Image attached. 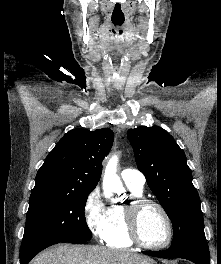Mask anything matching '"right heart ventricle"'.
Masks as SVG:
<instances>
[{
  "mask_svg": "<svg viewBox=\"0 0 221 264\" xmlns=\"http://www.w3.org/2000/svg\"><path fill=\"white\" fill-rule=\"evenodd\" d=\"M127 186L132 198L142 197V189H137L130 185ZM103 241L107 246L113 248H128L133 245L126 230L124 205H112L109 208L108 226Z\"/></svg>",
  "mask_w": 221,
  "mask_h": 264,
  "instance_id": "obj_1",
  "label": "right heart ventricle"
}]
</instances>
